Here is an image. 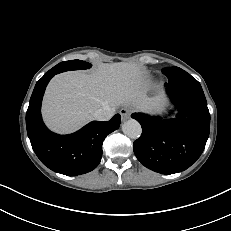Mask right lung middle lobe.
<instances>
[{
    "label": "right lung middle lobe",
    "instance_id": "1",
    "mask_svg": "<svg viewBox=\"0 0 231 231\" xmlns=\"http://www.w3.org/2000/svg\"><path fill=\"white\" fill-rule=\"evenodd\" d=\"M90 67H91L90 63L81 60H71V61L61 62L49 71L51 72L58 71L57 73H60L68 70L88 69Z\"/></svg>",
    "mask_w": 231,
    "mask_h": 231
}]
</instances>
